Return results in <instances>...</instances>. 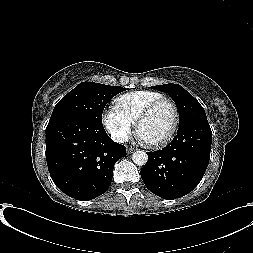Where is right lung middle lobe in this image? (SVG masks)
<instances>
[{"label": "right lung middle lobe", "mask_w": 253, "mask_h": 253, "mask_svg": "<svg viewBox=\"0 0 253 253\" xmlns=\"http://www.w3.org/2000/svg\"><path fill=\"white\" fill-rule=\"evenodd\" d=\"M125 90L120 86L82 82L56 104L50 119L74 115L102 124V113L107 102Z\"/></svg>", "instance_id": "1"}]
</instances>
